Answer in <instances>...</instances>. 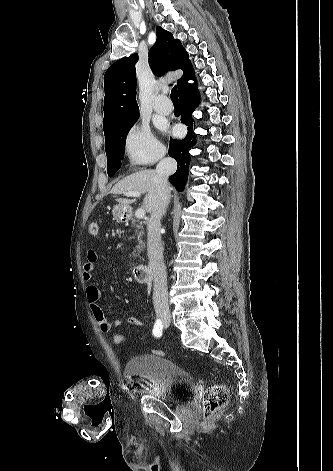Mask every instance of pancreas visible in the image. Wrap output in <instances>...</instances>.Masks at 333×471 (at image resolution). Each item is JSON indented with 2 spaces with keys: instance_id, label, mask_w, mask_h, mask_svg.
Segmentation results:
<instances>
[{
  "instance_id": "1",
  "label": "pancreas",
  "mask_w": 333,
  "mask_h": 471,
  "mask_svg": "<svg viewBox=\"0 0 333 471\" xmlns=\"http://www.w3.org/2000/svg\"><path fill=\"white\" fill-rule=\"evenodd\" d=\"M131 227L134 229V234L132 237H130V240H135L137 239L138 244L136 247L133 249V257L137 258L139 257V253L144 249L145 243L143 241V235H144V230H143V225L141 222L133 219ZM131 229H129V232ZM140 258V257H139Z\"/></svg>"
}]
</instances>
